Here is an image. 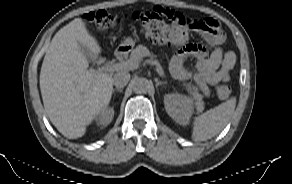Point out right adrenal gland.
Returning a JSON list of instances; mask_svg holds the SVG:
<instances>
[{
  "label": "right adrenal gland",
  "mask_w": 292,
  "mask_h": 184,
  "mask_svg": "<svg viewBox=\"0 0 292 184\" xmlns=\"http://www.w3.org/2000/svg\"><path fill=\"white\" fill-rule=\"evenodd\" d=\"M123 92V89L122 88H116V89H113V93H115V92Z\"/></svg>",
  "instance_id": "1"
}]
</instances>
